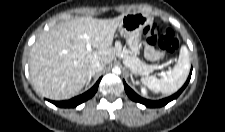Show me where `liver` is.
<instances>
[{"label":"liver","mask_w":225,"mask_h":132,"mask_svg":"<svg viewBox=\"0 0 225 132\" xmlns=\"http://www.w3.org/2000/svg\"><path fill=\"white\" fill-rule=\"evenodd\" d=\"M122 14L113 19L79 17L59 23L43 33L30 51L32 83L44 97L70 99L87 83L93 60L104 65L115 58L112 47ZM85 35L95 51H88Z\"/></svg>","instance_id":"1"}]
</instances>
